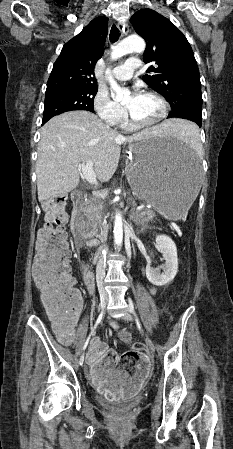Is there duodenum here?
I'll return each mask as SVG.
<instances>
[{
    "instance_id": "410a0bca",
    "label": "duodenum",
    "mask_w": 233,
    "mask_h": 449,
    "mask_svg": "<svg viewBox=\"0 0 233 449\" xmlns=\"http://www.w3.org/2000/svg\"><path fill=\"white\" fill-rule=\"evenodd\" d=\"M86 197L83 193H76L72 197L73 201V213H72V226L73 229L77 232L80 231L83 228V216L81 207L85 201ZM103 258V252L102 250H99L95 253L93 259L95 262L100 261ZM83 272H92L88 268H85Z\"/></svg>"
}]
</instances>
